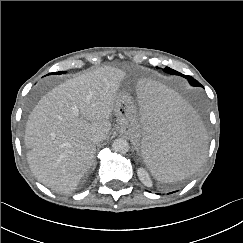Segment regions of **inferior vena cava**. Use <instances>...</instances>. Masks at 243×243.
I'll return each mask as SVG.
<instances>
[{
  "label": "inferior vena cava",
  "instance_id": "1",
  "mask_svg": "<svg viewBox=\"0 0 243 243\" xmlns=\"http://www.w3.org/2000/svg\"><path fill=\"white\" fill-rule=\"evenodd\" d=\"M92 140L94 143H98L100 141L103 140V135L102 134H95L93 137H92Z\"/></svg>",
  "mask_w": 243,
  "mask_h": 243
}]
</instances>
